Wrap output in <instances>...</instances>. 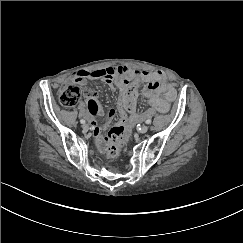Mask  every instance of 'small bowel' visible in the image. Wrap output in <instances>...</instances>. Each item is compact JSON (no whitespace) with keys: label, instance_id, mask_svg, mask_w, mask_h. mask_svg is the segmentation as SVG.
<instances>
[{"label":"small bowel","instance_id":"small-bowel-1","mask_svg":"<svg viewBox=\"0 0 243 243\" xmlns=\"http://www.w3.org/2000/svg\"><path fill=\"white\" fill-rule=\"evenodd\" d=\"M133 76L146 83L143 95L148 99L151 107L161 113L168 112L170 103L176 96V91L166 81V76L161 71H132L124 66L108 67L94 71H79L73 76L72 81L78 85H84L88 79L98 78L108 83L112 89H116L119 86V82H117L119 78L126 79ZM86 101L90 114L95 120L93 122L94 134L98 135L101 129L97 121L103 116L104 111L94 91H86ZM114 116L115 111L109 110L108 119H112Z\"/></svg>","mask_w":243,"mask_h":243}]
</instances>
